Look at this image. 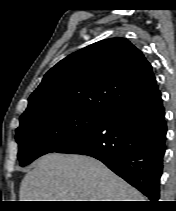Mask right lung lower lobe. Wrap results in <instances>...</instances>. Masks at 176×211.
<instances>
[{"label":"right lung lower lobe","mask_w":176,"mask_h":211,"mask_svg":"<svg viewBox=\"0 0 176 211\" xmlns=\"http://www.w3.org/2000/svg\"><path fill=\"white\" fill-rule=\"evenodd\" d=\"M158 91L138 104L114 111L58 153L84 154L102 161L151 201L159 198L167 125Z\"/></svg>","instance_id":"98d812e1"}]
</instances>
